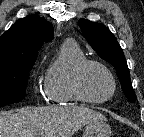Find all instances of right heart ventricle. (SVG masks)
<instances>
[{
  "instance_id": "e07e8e85",
  "label": "right heart ventricle",
  "mask_w": 144,
  "mask_h": 137,
  "mask_svg": "<svg viewBox=\"0 0 144 137\" xmlns=\"http://www.w3.org/2000/svg\"><path fill=\"white\" fill-rule=\"evenodd\" d=\"M85 60L84 52L75 41L66 40L61 44L44 76V87L53 103L65 105L79 101L73 91V76Z\"/></svg>"
}]
</instances>
